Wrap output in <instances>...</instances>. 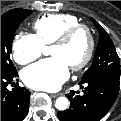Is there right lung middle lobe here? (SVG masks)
Returning a JSON list of instances; mask_svg holds the SVG:
<instances>
[{
    "instance_id": "obj_1",
    "label": "right lung middle lobe",
    "mask_w": 121,
    "mask_h": 121,
    "mask_svg": "<svg viewBox=\"0 0 121 121\" xmlns=\"http://www.w3.org/2000/svg\"><path fill=\"white\" fill-rule=\"evenodd\" d=\"M31 13V10L13 9L1 15V73L16 71L10 59L12 41L20 23Z\"/></svg>"
}]
</instances>
